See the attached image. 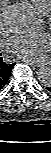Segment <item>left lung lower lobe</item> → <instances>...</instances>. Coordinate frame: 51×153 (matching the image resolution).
Here are the masks:
<instances>
[{
  "mask_svg": "<svg viewBox=\"0 0 51 153\" xmlns=\"http://www.w3.org/2000/svg\"><path fill=\"white\" fill-rule=\"evenodd\" d=\"M47 90H49L51 92V87H48Z\"/></svg>",
  "mask_w": 51,
  "mask_h": 153,
  "instance_id": "0a47b994",
  "label": "left lung lower lobe"
}]
</instances>
